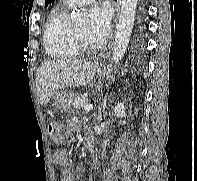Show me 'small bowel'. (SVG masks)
<instances>
[{"label": "small bowel", "mask_w": 197, "mask_h": 181, "mask_svg": "<svg viewBox=\"0 0 197 181\" xmlns=\"http://www.w3.org/2000/svg\"><path fill=\"white\" fill-rule=\"evenodd\" d=\"M78 127V121L71 119L68 124V128L74 130ZM54 163L61 169V181H74L73 173L71 172L69 165L70 159L65 149H59L54 153Z\"/></svg>", "instance_id": "obj_1"}]
</instances>
